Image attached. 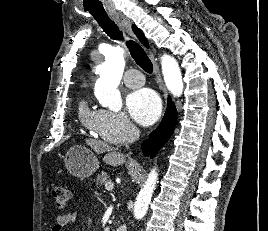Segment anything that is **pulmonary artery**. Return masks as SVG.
<instances>
[{"label": "pulmonary artery", "mask_w": 268, "mask_h": 231, "mask_svg": "<svg viewBox=\"0 0 268 231\" xmlns=\"http://www.w3.org/2000/svg\"><path fill=\"white\" fill-rule=\"evenodd\" d=\"M123 81L126 86L131 88L140 87L144 84L143 74L138 69H129L123 76Z\"/></svg>", "instance_id": "1"}]
</instances>
